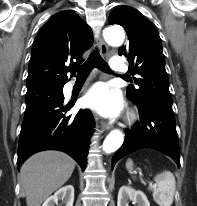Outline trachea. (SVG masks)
I'll list each match as a JSON object with an SVG mask.
<instances>
[{
    "instance_id": "1",
    "label": "trachea",
    "mask_w": 197,
    "mask_h": 206,
    "mask_svg": "<svg viewBox=\"0 0 197 206\" xmlns=\"http://www.w3.org/2000/svg\"><path fill=\"white\" fill-rule=\"evenodd\" d=\"M95 67L103 72L110 71V68L106 61L97 52H94L89 56L84 64L75 67V70L78 73L77 77H87Z\"/></svg>"
}]
</instances>
